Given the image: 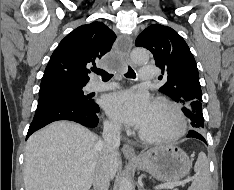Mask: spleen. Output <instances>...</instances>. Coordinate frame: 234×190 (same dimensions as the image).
Returning <instances> with one entry per match:
<instances>
[{"label":"spleen","mask_w":234,"mask_h":190,"mask_svg":"<svg viewBox=\"0 0 234 190\" xmlns=\"http://www.w3.org/2000/svg\"><path fill=\"white\" fill-rule=\"evenodd\" d=\"M195 176L188 190H210L209 163L206 154L200 152L194 166Z\"/></svg>","instance_id":"obj_1"}]
</instances>
